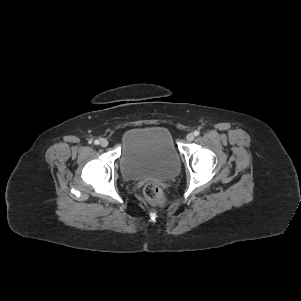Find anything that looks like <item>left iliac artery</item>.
I'll return each instance as SVG.
<instances>
[{"label": "left iliac artery", "mask_w": 301, "mask_h": 301, "mask_svg": "<svg viewBox=\"0 0 301 301\" xmlns=\"http://www.w3.org/2000/svg\"><path fill=\"white\" fill-rule=\"evenodd\" d=\"M199 134H200L199 131H194V135H195V136H198Z\"/></svg>", "instance_id": "1"}]
</instances>
